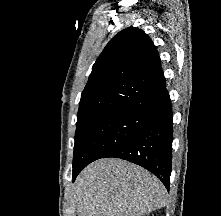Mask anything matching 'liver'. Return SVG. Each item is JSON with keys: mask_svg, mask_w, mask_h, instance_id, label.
<instances>
[{"mask_svg": "<svg viewBox=\"0 0 221 216\" xmlns=\"http://www.w3.org/2000/svg\"><path fill=\"white\" fill-rule=\"evenodd\" d=\"M74 198L78 216H144L167 204V191L144 168L106 158L80 173Z\"/></svg>", "mask_w": 221, "mask_h": 216, "instance_id": "liver-1", "label": "liver"}]
</instances>
